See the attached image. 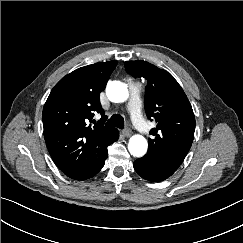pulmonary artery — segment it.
I'll list each match as a JSON object with an SVG mask.
<instances>
[{"mask_svg":"<svg viewBox=\"0 0 243 243\" xmlns=\"http://www.w3.org/2000/svg\"><path fill=\"white\" fill-rule=\"evenodd\" d=\"M130 99L127 105V110L131 115L132 121L135 127L142 133L147 134L149 127L144 121L141 113V102H140V86L136 83H129Z\"/></svg>","mask_w":243,"mask_h":243,"instance_id":"e3ab8cb5","label":"pulmonary artery"}]
</instances>
